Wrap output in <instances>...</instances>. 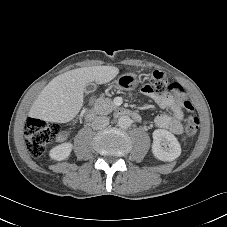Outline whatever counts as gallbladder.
Listing matches in <instances>:
<instances>
[{
  "instance_id": "bac80fb5",
  "label": "gallbladder",
  "mask_w": 227,
  "mask_h": 227,
  "mask_svg": "<svg viewBox=\"0 0 227 227\" xmlns=\"http://www.w3.org/2000/svg\"><path fill=\"white\" fill-rule=\"evenodd\" d=\"M96 90V84L94 83H88L85 87V92L88 93H93Z\"/></svg>"
}]
</instances>
